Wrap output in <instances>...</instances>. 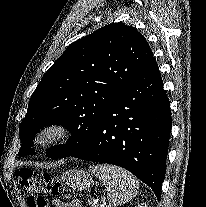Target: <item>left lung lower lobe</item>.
Segmentation results:
<instances>
[{
	"label": "left lung lower lobe",
	"mask_w": 206,
	"mask_h": 207,
	"mask_svg": "<svg viewBox=\"0 0 206 207\" xmlns=\"http://www.w3.org/2000/svg\"><path fill=\"white\" fill-rule=\"evenodd\" d=\"M171 125L169 99L152 57L109 104L90 144L70 156L123 167L159 200Z\"/></svg>",
	"instance_id": "0a47b994"
}]
</instances>
